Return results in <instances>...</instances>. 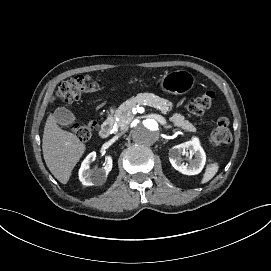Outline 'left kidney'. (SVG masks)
<instances>
[{"label": "left kidney", "mask_w": 271, "mask_h": 271, "mask_svg": "<svg viewBox=\"0 0 271 271\" xmlns=\"http://www.w3.org/2000/svg\"><path fill=\"white\" fill-rule=\"evenodd\" d=\"M183 149L193 150L196 153L195 159L190 164L182 162L181 154ZM169 160L171 165L183 174L194 175L199 173L206 163V153L201 146L199 136L193 134L190 141L172 147L169 150Z\"/></svg>", "instance_id": "5707ae66"}]
</instances>
